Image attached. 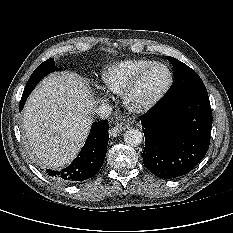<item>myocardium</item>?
Returning a JSON list of instances; mask_svg holds the SVG:
<instances>
[{"label": "myocardium", "instance_id": "1", "mask_svg": "<svg viewBox=\"0 0 233 233\" xmlns=\"http://www.w3.org/2000/svg\"><path fill=\"white\" fill-rule=\"evenodd\" d=\"M163 67L168 74V80L166 84L148 101L138 102L135 99V95L139 90L146 75L155 67ZM173 84V74L170 68L162 62H153L152 64L145 67L129 84L124 91L122 98L125 107L132 113L143 114L153 109L167 94Z\"/></svg>", "mask_w": 233, "mask_h": 233}]
</instances>
